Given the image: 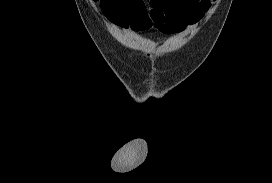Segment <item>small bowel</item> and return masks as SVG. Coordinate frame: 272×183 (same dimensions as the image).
<instances>
[{"label":"small bowel","instance_id":"obj_1","mask_svg":"<svg viewBox=\"0 0 272 183\" xmlns=\"http://www.w3.org/2000/svg\"><path fill=\"white\" fill-rule=\"evenodd\" d=\"M211 0H101L104 14L116 25L143 32L156 25L172 33L196 23Z\"/></svg>","mask_w":272,"mask_h":183}]
</instances>
